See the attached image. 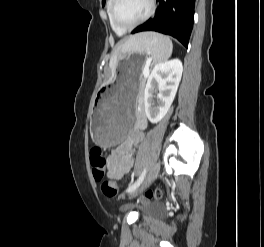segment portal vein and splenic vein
I'll use <instances>...</instances> for the list:
<instances>
[{"instance_id":"portal-vein-and-splenic-vein-1","label":"portal vein and splenic vein","mask_w":264,"mask_h":247,"mask_svg":"<svg viewBox=\"0 0 264 247\" xmlns=\"http://www.w3.org/2000/svg\"><path fill=\"white\" fill-rule=\"evenodd\" d=\"M150 60H148L143 68V76L147 77L149 74Z\"/></svg>"}]
</instances>
